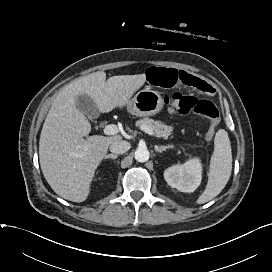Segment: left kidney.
I'll use <instances>...</instances> for the list:
<instances>
[{"mask_svg":"<svg viewBox=\"0 0 272 272\" xmlns=\"http://www.w3.org/2000/svg\"><path fill=\"white\" fill-rule=\"evenodd\" d=\"M166 182L181 192H194L202 179V164L199 158H192L182 165H174L164 172Z\"/></svg>","mask_w":272,"mask_h":272,"instance_id":"obj_1","label":"left kidney"}]
</instances>
